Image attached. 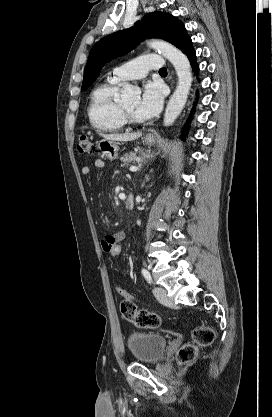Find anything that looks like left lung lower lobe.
<instances>
[{
  "mask_svg": "<svg viewBox=\"0 0 272 417\" xmlns=\"http://www.w3.org/2000/svg\"><path fill=\"white\" fill-rule=\"evenodd\" d=\"M188 59L190 60L191 66L193 68V70L197 73L198 72V65L196 62V54H195V50L192 48L189 52L186 53ZM188 125H189V119L187 120V123L185 124L184 128H183V133L181 135V138L184 139L185 134L187 133V129H188Z\"/></svg>",
  "mask_w": 272,
  "mask_h": 417,
  "instance_id": "left-lung-lower-lobe-1",
  "label": "left lung lower lobe"
}]
</instances>
